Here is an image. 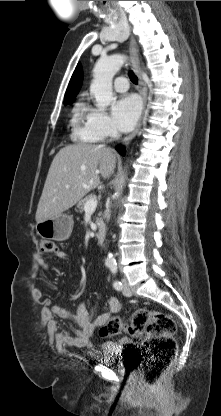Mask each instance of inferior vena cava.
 Here are the masks:
<instances>
[{"label":"inferior vena cava","instance_id":"obj_1","mask_svg":"<svg viewBox=\"0 0 221 416\" xmlns=\"http://www.w3.org/2000/svg\"><path fill=\"white\" fill-rule=\"evenodd\" d=\"M116 135H117V133L115 132V133H114V136H116Z\"/></svg>","mask_w":221,"mask_h":416}]
</instances>
